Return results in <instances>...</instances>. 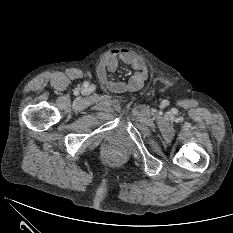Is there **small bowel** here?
<instances>
[{"label":"small bowel","instance_id":"c3829d8e","mask_svg":"<svg viewBox=\"0 0 233 233\" xmlns=\"http://www.w3.org/2000/svg\"><path fill=\"white\" fill-rule=\"evenodd\" d=\"M120 62L130 66L134 70V74L126 82H107V88L114 93L134 92L141 89L147 80L148 70L141 58L128 49L112 50L100 63L99 75L104 76L114 72Z\"/></svg>","mask_w":233,"mask_h":233}]
</instances>
